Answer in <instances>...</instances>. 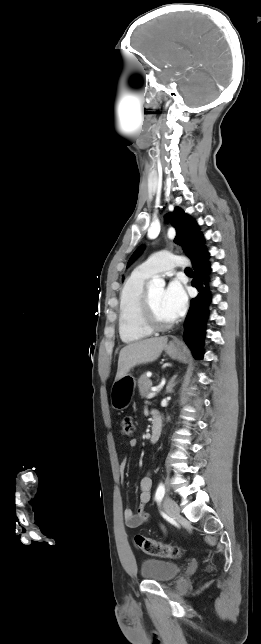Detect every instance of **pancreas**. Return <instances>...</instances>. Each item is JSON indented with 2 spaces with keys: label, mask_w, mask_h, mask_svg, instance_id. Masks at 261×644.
I'll return each mask as SVG.
<instances>
[{
  "label": "pancreas",
  "mask_w": 261,
  "mask_h": 644,
  "mask_svg": "<svg viewBox=\"0 0 261 644\" xmlns=\"http://www.w3.org/2000/svg\"><path fill=\"white\" fill-rule=\"evenodd\" d=\"M151 386L152 381L145 374H143L138 380L139 392L142 398L147 397V395L151 392Z\"/></svg>",
  "instance_id": "1"
}]
</instances>
